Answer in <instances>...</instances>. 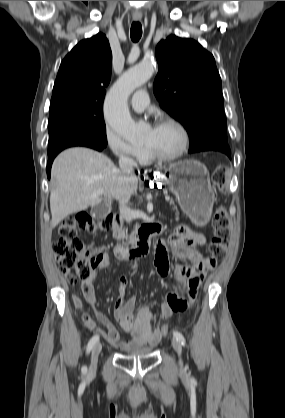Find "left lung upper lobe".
I'll return each instance as SVG.
<instances>
[{"label":"left lung upper lobe","mask_w":285,"mask_h":418,"mask_svg":"<svg viewBox=\"0 0 285 418\" xmlns=\"http://www.w3.org/2000/svg\"><path fill=\"white\" fill-rule=\"evenodd\" d=\"M159 71L153 91L160 106L187 130L189 152H231L221 78L212 54L192 39L174 35L156 47Z\"/></svg>","instance_id":"5c2ea615"}]
</instances>
